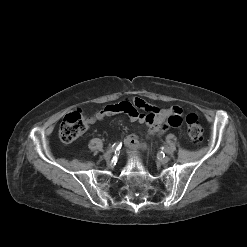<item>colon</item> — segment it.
I'll return each instance as SVG.
<instances>
[{"label":"colon","instance_id":"1","mask_svg":"<svg viewBox=\"0 0 247 247\" xmlns=\"http://www.w3.org/2000/svg\"><path fill=\"white\" fill-rule=\"evenodd\" d=\"M187 133L191 142L198 145L202 141L203 129L196 114H189L186 117ZM87 118L81 110H74L68 113L59 128V137L64 143L75 141L85 131Z\"/></svg>","mask_w":247,"mask_h":247}]
</instances>
